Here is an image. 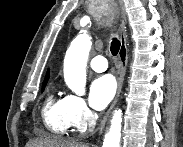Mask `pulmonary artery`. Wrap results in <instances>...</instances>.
<instances>
[{
  "label": "pulmonary artery",
  "instance_id": "pulmonary-artery-1",
  "mask_svg": "<svg viewBox=\"0 0 183 147\" xmlns=\"http://www.w3.org/2000/svg\"><path fill=\"white\" fill-rule=\"evenodd\" d=\"M89 66L96 72H103L107 69L108 63L103 56H96L90 60Z\"/></svg>",
  "mask_w": 183,
  "mask_h": 147
}]
</instances>
